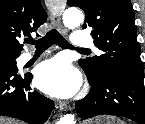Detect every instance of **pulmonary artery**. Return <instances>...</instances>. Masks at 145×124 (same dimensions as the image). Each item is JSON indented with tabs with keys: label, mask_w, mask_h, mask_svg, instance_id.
I'll return each instance as SVG.
<instances>
[{
	"label": "pulmonary artery",
	"mask_w": 145,
	"mask_h": 124,
	"mask_svg": "<svg viewBox=\"0 0 145 124\" xmlns=\"http://www.w3.org/2000/svg\"><path fill=\"white\" fill-rule=\"evenodd\" d=\"M72 46L77 48H89L93 46V39L91 35L85 30H75L72 39ZM100 54L99 50H96ZM33 58L31 53H24L20 57L21 63H27Z\"/></svg>",
	"instance_id": "pulmonary-artery-1"
}]
</instances>
